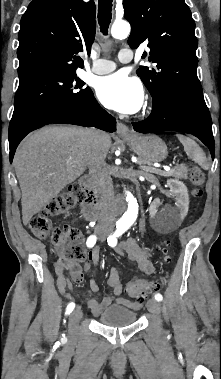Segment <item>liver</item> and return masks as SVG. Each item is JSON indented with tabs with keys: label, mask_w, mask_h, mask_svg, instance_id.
Instances as JSON below:
<instances>
[{
	"label": "liver",
	"mask_w": 221,
	"mask_h": 379,
	"mask_svg": "<svg viewBox=\"0 0 221 379\" xmlns=\"http://www.w3.org/2000/svg\"><path fill=\"white\" fill-rule=\"evenodd\" d=\"M88 129L47 126L26 136L13 160L22 192V220L27 225L52 198L87 168ZM111 138L101 132L99 147L106 157Z\"/></svg>",
	"instance_id": "6515ba94"
}]
</instances>
